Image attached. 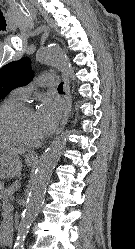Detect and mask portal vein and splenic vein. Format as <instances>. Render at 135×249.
<instances>
[{
    "instance_id": "obj_1",
    "label": "portal vein and splenic vein",
    "mask_w": 135,
    "mask_h": 249,
    "mask_svg": "<svg viewBox=\"0 0 135 249\" xmlns=\"http://www.w3.org/2000/svg\"><path fill=\"white\" fill-rule=\"evenodd\" d=\"M14 200H15V197H14V196H11V197H10V201L13 202Z\"/></svg>"
}]
</instances>
